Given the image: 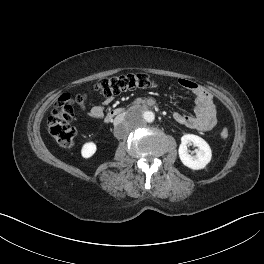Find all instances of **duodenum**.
Masks as SVG:
<instances>
[{"label": "duodenum", "mask_w": 264, "mask_h": 264, "mask_svg": "<svg viewBox=\"0 0 264 264\" xmlns=\"http://www.w3.org/2000/svg\"><path fill=\"white\" fill-rule=\"evenodd\" d=\"M140 109L144 110L145 107L141 106ZM125 114V109L123 108H114L110 110L106 115V121H110L117 116H123Z\"/></svg>", "instance_id": "duodenum-1"}]
</instances>
